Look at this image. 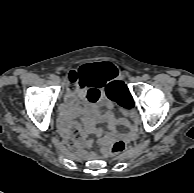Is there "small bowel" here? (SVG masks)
<instances>
[{
	"label": "small bowel",
	"instance_id": "1",
	"mask_svg": "<svg viewBox=\"0 0 194 193\" xmlns=\"http://www.w3.org/2000/svg\"><path fill=\"white\" fill-rule=\"evenodd\" d=\"M118 73L115 65L101 62L88 66L79 74V89L70 95L71 102L63 106L60 119V131L73 147L84 150L82 136L86 131L94 130L96 119L106 120L112 133L116 132L118 124H126L124 119L114 116L101 91ZM102 107L106 109L101 110ZM124 113L131 115L132 111L125 109ZM79 114L84 116L83 126L75 122ZM73 126L75 135L71 132Z\"/></svg>",
	"mask_w": 194,
	"mask_h": 193
}]
</instances>
